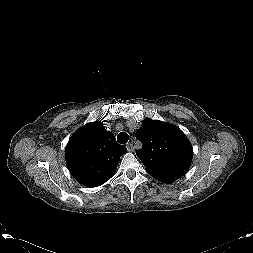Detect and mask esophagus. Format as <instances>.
<instances>
[{"instance_id":"obj_1","label":"esophagus","mask_w":253,"mask_h":253,"mask_svg":"<svg viewBox=\"0 0 253 253\" xmlns=\"http://www.w3.org/2000/svg\"><path fill=\"white\" fill-rule=\"evenodd\" d=\"M126 147H127V150H128L129 152H133V151H134V147H133V144H132V143H128Z\"/></svg>"}]
</instances>
